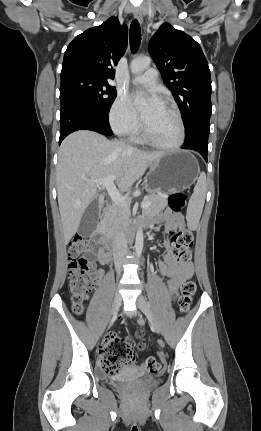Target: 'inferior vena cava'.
<instances>
[{"label": "inferior vena cava", "mask_w": 261, "mask_h": 431, "mask_svg": "<svg viewBox=\"0 0 261 431\" xmlns=\"http://www.w3.org/2000/svg\"><path fill=\"white\" fill-rule=\"evenodd\" d=\"M129 148H132L128 146ZM113 252H114V258L116 260L121 259L125 256L127 253V240L125 233L122 229H120L114 236L113 239ZM121 273V266H117V274Z\"/></svg>", "instance_id": "obj_1"}]
</instances>
